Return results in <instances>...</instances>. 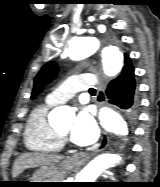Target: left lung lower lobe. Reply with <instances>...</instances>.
Masks as SVG:
<instances>
[{"mask_svg": "<svg viewBox=\"0 0 160 187\" xmlns=\"http://www.w3.org/2000/svg\"><path fill=\"white\" fill-rule=\"evenodd\" d=\"M124 62L121 74L109 83L106 94L110 103L122 109L129 120H134L139 107L134 68L129 56H124Z\"/></svg>", "mask_w": 160, "mask_h": 187, "instance_id": "left-lung-lower-lobe-1", "label": "left lung lower lobe"}]
</instances>
